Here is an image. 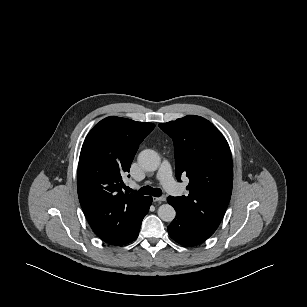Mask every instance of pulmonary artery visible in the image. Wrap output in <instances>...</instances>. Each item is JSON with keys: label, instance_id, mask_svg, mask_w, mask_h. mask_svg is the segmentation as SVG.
Masks as SVG:
<instances>
[{"label": "pulmonary artery", "instance_id": "obj_1", "mask_svg": "<svg viewBox=\"0 0 307 307\" xmlns=\"http://www.w3.org/2000/svg\"><path fill=\"white\" fill-rule=\"evenodd\" d=\"M157 178L168 192L176 194L180 190L172 177V169L167 160L163 161L158 171Z\"/></svg>", "mask_w": 307, "mask_h": 307}]
</instances>
